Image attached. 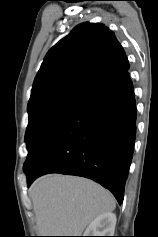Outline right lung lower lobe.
Returning <instances> with one entry per match:
<instances>
[{"label":"right lung lower lobe","mask_w":158,"mask_h":237,"mask_svg":"<svg viewBox=\"0 0 158 237\" xmlns=\"http://www.w3.org/2000/svg\"><path fill=\"white\" fill-rule=\"evenodd\" d=\"M136 105L128 72L77 107L40 144L24 170L28 185L46 173L90 178L123 202L136 135Z\"/></svg>","instance_id":"obj_1"}]
</instances>
